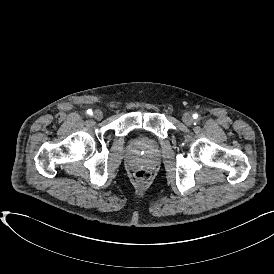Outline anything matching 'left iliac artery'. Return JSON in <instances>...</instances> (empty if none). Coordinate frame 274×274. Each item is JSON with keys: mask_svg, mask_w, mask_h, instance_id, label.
Segmentation results:
<instances>
[{"mask_svg": "<svg viewBox=\"0 0 274 274\" xmlns=\"http://www.w3.org/2000/svg\"><path fill=\"white\" fill-rule=\"evenodd\" d=\"M193 118H194V119H197V118H198V114H196V113L193 114Z\"/></svg>", "mask_w": 274, "mask_h": 274, "instance_id": "left-iliac-artery-1", "label": "left iliac artery"}]
</instances>
